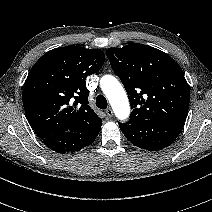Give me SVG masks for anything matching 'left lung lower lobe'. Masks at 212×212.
<instances>
[{
	"label": "left lung lower lobe",
	"instance_id": "1",
	"mask_svg": "<svg viewBox=\"0 0 212 212\" xmlns=\"http://www.w3.org/2000/svg\"><path fill=\"white\" fill-rule=\"evenodd\" d=\"M184 122L167 119H141L132 124H119L128 141L149 151L170 146L180 134Z\"/></svg>",
	"mask_w": 212,
	"mask_h": 212
}]
</instances>
